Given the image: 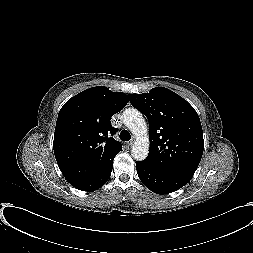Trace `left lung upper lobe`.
<instances>
[{"label": "left lung upper lobe", "instance_id": "5c2ea615", "mask_svg": "<svg viewBox=\"0 0 253 253\" xmlns=\"http://www.w3.org/2000/svg\"><path fill=\"white\" fill-rule=\"evenodd\" d=\"M128 98L149 122L150 151L143 161L188 183L204 149L202 127L195 109L164 87L153 88L149 93L129 94Z\"/></svg>", "mask_w": 253, "mask_h": 253}]
</instances>
